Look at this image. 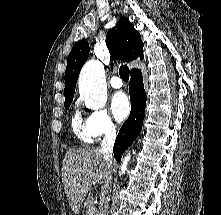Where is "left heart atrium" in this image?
Here are the masks:
<instances>
[{"label": "left heart atrium", "mask_w": 221, "mask_h": 215, "mask_svg": "<svg viewBox=\"0 0 221 215\" xmlns=\"http://www.w3.org/2000/svg\"><path fill=\"white\" fill-rule=\"evenodd\" d=\"M112 113L118 121H123L130 113V101L123 92L114 94L111 101Z\"/></svg>", "instance_id": "1"}]
</instances>
